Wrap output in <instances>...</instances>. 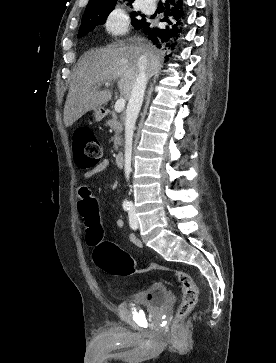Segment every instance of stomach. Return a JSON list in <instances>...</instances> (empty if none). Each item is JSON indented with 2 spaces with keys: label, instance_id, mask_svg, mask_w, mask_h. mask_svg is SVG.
<instances>
[{
  "label": "stomach",
  "instance_id": "stomach-1",
  "mask_svg": "<svg viewBox=\"0 0 276 363\" xmlns=\"http://www.w3.org/2000/svg\"><path fill=\"white\" fill-rule=\"evenodd\" d=\"M105 116L104 111L102 110V108H98L96 110H94V117L96 121H101Z\"/></svg>",
  "mask_w": 276,
  "mask_h": 363
}]
</instances>
